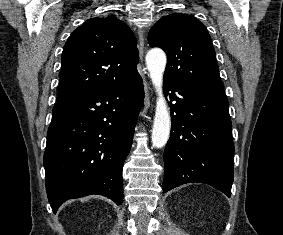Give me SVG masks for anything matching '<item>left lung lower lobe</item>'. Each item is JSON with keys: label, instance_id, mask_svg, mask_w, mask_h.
I'll use <instances>...</instances> for the list:
<instances>
[{"label": "left lung lower lobe", "instance_id": "0a47b994", "mask_svg": "<svg viewBox=\"0 0 283 235\" xmlns=\"http://www.w3.org/2000/svg\"><path fill=\"white\" fill-rule=\"evenodd\" d=\"M164 90L170 100L172 126L164 151L163 192L197 182L230 197L234 145L226 95L166 77Z\"/></svg>", "mask_w": 283, "mask_h": 235}]
</instances>
